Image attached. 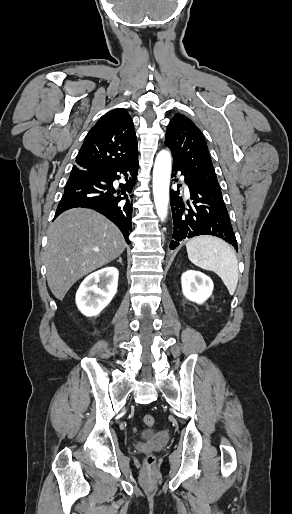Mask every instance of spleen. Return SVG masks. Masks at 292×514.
<instances>
[{
  "instance_id": "3e777b00",
  "label": "spleen",
  "mask_w": 292,
  "mask_h": 514,
  "mask_svg": "<svg viewBox=\"0 0 292 514\" xmlns=\"http://www.w3.org/2000/svg\"><path fill=\"white\" fill-rule=\"evenodd\" d=\"M186 250L192 264L203 270L215 272L233 296L239 272L236 254L229 244L214 236H197L187 242Z\"/></svg>"
}]
</instances>
